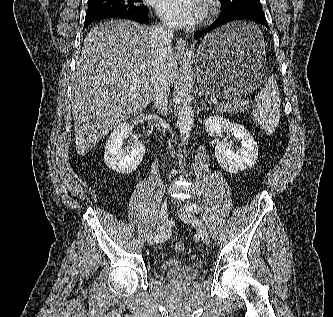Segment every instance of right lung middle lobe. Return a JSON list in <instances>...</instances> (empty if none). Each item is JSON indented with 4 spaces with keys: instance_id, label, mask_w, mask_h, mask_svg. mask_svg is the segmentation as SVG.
I'll return each mask as SVG.
<instances>
[{
    "instance_id": "dd1d6c3e",
    "label": "right lung middle lobe",
    "mask_w": 333,
    "mask_h": 317,
    "mask_svg": "<svg viewBox=\"0 0 333 317\" xmlns=\"http://www.w3.org/2000/svg\"><path fill=\"white\" fill-rule=\"evenodd\" d=\"M133 11H148L142 0H88L86 15L104 12L128 13Z\"/></svg>"
}]
</instances>
